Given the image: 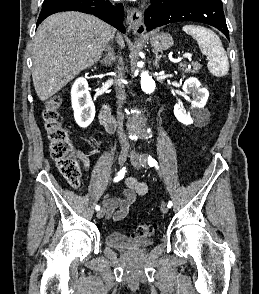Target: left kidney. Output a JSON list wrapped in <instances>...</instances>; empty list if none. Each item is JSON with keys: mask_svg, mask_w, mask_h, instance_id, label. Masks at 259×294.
Returning <instances> with one entry per match:
<instances>
[{"mask_svg": "<svg viewBox=\"0 0 259 294\" xmlns=\"http://www.w3.org/2000/svg\"><path fill=\"white\" fill-rule=\"evenodd\" d=\"M183 91L186 94L192 95L191 108L186 112L182 103L178 102L174 106V115L179 122L185 125L193 123L200 124L203 117L206 115L204 107L209 97V92L206 88L201 87V83L197 78H188L183 85Z\"/></svg>", "mask_w": 259, "mask_h": 294, "instance_id": "5707ae66", "label": "left kidney"}]
</instances>
